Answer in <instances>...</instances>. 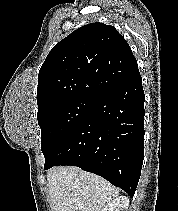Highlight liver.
<instances>
[{"mask_svg":"<svg viewBox=\"0 0 178 211\" xmlns=\"http://www.w3.org/2000/svg\"><path fill=\"white\" fill-rule=\"evenodd\" d=\"M52 211H101L119 195L102 177L78 167H53L47 172Z\"/></svg>","mask_w":178,"mask_h":211,"instance_id":"liver-1","label":"liver"}]
</instances>
